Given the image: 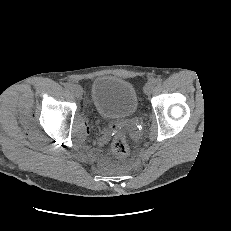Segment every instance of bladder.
Segmentation results:
<instances>
[{"instance_id": "31cf9c89", "label": "bladder", "mask_w": 231, "mask_h": 231, "mask_svg": "<svg viewBox=\"0 0 231 231\" xmlns=\"http://www.w3.org/2000/svg\"><path fill=\"white\" fill-rule=\"evenodd\" d=\"M91 99L98 114L106 119L129 117L138 108L134 86L125 79L111 75H102L93 80Z\"/></svg>"}]
</instances>
